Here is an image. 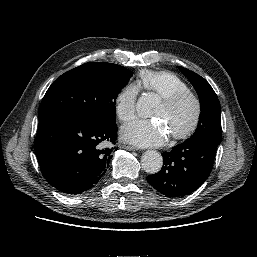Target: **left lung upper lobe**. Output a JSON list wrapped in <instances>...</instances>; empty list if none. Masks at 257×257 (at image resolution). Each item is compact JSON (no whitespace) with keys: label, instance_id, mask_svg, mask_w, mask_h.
I'll use <instances>...</instances> for the list:
<instances>
[{"label":"left lung upper lobe","instance_id":"1","mask_svg":"<svg viewBox=\"0 0 257 257\" xmlns=\"http://www.w3.org/2000/svg\"><path fill=\"white\" fill-rule=\"evenodd\" d=\"M180 70L195 87L201 106L198 128L189 140L206 139L220 143L222 140L221 108L216 93L198 74L184 67H180Z\"/></svg>","mask_w":257,"mask_h":257}]
</instances>
